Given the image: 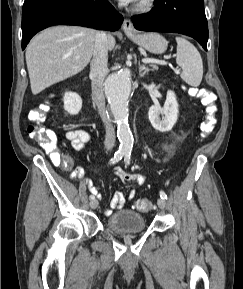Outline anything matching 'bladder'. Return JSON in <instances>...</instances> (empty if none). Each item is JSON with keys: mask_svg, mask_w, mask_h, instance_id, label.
Instances as JSON below:
<instances>
[{"mask_svg": "<svg viewBox=\"0 0 243 289\" xmlns=\"http://www.w3.org/2000/svg\"><path fill=\"white\" fill-rule=\"evenodd\" d=\"M106 225L115 233L139 232L146 228V220L140 213L125 209L109 215Z\"/></svg>", "mask_w": 243, "mask_h": 289, "instance_id": "obj_1", "label": "bladder"}]
</instances>
